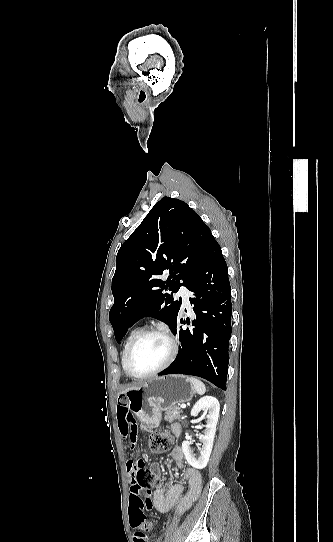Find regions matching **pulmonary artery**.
<instances>
[{
  "instance_id": "pulmonary-artery-1",
  "label": "pulmonary artery",
  "mask_w": 333,
  "mask_h": 542,
  "mask_svg": "<svg viewBox=\"0 0 333 542\" xmlns=\"http://www.w3.org/2000/svg\"><path fill=\"white\" fill-rule=\"evenodd\" d=\"M187 295L188 294V289L187 288H182L181 289V293L180 292H176L175 293V297L178 299L179 297H181L182 295ZM189 304V300L187 297L185 296H182V308L188 306Z\"/></svg>"
}]
</instances>
